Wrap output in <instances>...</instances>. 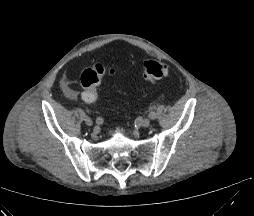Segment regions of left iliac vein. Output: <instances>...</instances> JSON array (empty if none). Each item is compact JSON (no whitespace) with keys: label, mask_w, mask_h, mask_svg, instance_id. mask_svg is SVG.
<instances>
[{"label":"left iliac vein","mask_w":254,"mask_h":216,"mask_svg":"<svg viewBox=\"0 0 254 216\" xmlns=\"http://www.w3.org/2000/svg\"><path fill=\"white\" fill-rule=\"evenodd\" d=\"M150 125V119L149 118H145L141 121V126L146 128Z\"/></svg>","instance_id":"4c4485c4"}]
</instances>
